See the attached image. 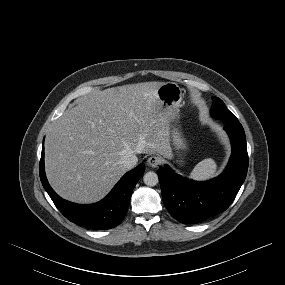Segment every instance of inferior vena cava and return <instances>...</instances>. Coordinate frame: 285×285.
Returning <instances> with one entry per match:
<instances>
[{
    "label": "inferior vena cava",
    "mask_w": 285,
    "mask_h": 285,
    "mask_svg": "<svg viewBox=\"0 0 285 285\" xmlns=\"http://www.w3.org/2000/svg\"><path fill=\"white\" fill-rule=\"evenodd\" d=\"M138 162V158L135 154H130L127 156H124L122 159V163L127 169H132L136 166Z\"/></svg>",
    "instance_id": "1"
}]
</instances>
